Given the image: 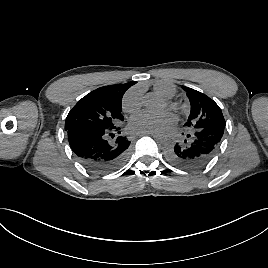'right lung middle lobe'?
Returning <instances> with one entry per match:
<instances>
[{
    "instance_id": "1",
    "label": "right lung middle lobe",
    "mask_w": 268,
    "mask_h": 268,
    "mask_svg": "<svg viewBox=\"0 0 268 268\" xmlns=\"http://www.w3.org/2000/svg\"><path fill=\"white\" fill-rule=\"evenodd\" d=\"M121 98L105 96L92 91L80 99L69 112L65 130L72 127L113 128L124 120L121 114Z\"/></svg>"
}]
</instances>
